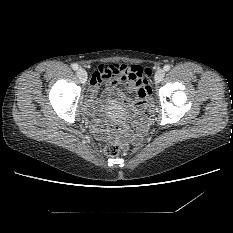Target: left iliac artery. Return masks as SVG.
Returning a JSON list of instances; mask_svg holds the SVG:
<instances>
[{"label":"left iliac artery","instance_id":"44dca946","mask_svg":"<svg viewBox=\"0 0 233 233\" xmlns=\"http://www.w3.org/2000/svg\"><path fill=\"white\" fill-rule=\"evenodd\" d=\"M170 68H171L170 65H165V66H164V70H165V71H169Z\"/></svg>","mask_w":233,"mask_h":233}]
</instances>
